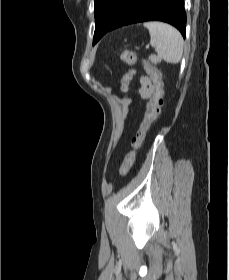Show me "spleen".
<instances>
[{
	"instance_id": "spleen-1",
	"label": "spleen",
	"mask_w": 229,
	"mask_h": 280,
	"mask_svg": "<svg viewBox=\"0 0 229 280\" xmlns=\"http://www.w3.org/2000/svg\"><path fill=\"white\" fill-rule=\"evenodd\" d=\"M150 44L158 56L167 63H178L183 55L184 41L177 29L162 22H146Z\"/></svg>"
}]
</instances>
